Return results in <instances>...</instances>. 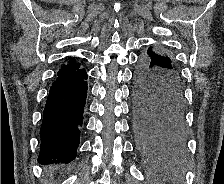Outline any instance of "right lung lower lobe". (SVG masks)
Listing matches in <instances>:
<instances>
[{
    "label": "right lung lower lobe",
    "mask_w": 224,
    "mask_h": 184,
    "mask_svg": "<svg viewBox=\"0 0 224 184\" xmlns=\"http://www.w3.org/2000/svg\"><path fill=\"white\" fill-rule=\"evenodd\" d=\"M86 79V71L80 65L58 71L43 112L38 157L41 164L75 159L87 97Z\"/></svg>",
    "instance_id": "1"
}]
</instances>
